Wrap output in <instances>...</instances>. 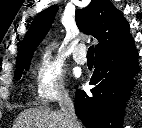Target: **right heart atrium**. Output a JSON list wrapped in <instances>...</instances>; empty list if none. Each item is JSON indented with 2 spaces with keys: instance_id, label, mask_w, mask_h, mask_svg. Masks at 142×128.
Segmentation results:
<instances>
[{
  "instance_id": "1",
  "label": "right heart atrium",
  "mask_w": 142,
  "mask_h": 128,
  "mask_svg": "<svg viewBox=\"0 0 142 128\" xmlns=\"http://www.w3.org/2000/svg\"><path fill=\"white\" fill-rule=\"evenodd\" d=\"M34 85L37 98L48 104L67 97L62 68L48 54L38 59L34 70Z\"/></svg>"
}]
</instances>
